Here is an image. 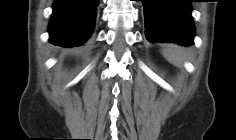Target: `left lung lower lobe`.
<instances>
[{
  "label": "left lung lower lobe",
  "mask_w": 236,
  "mask_h": 140,
  "mask_svg": "<svg viewBox=\"0 0 236 140\" xmlns=\"http://www.w3.org/2000/svg\"><path fill=\"white\" fill-rule=\"evenodd\" d=\"M192 0H142L145 36L149 42L193 45Z\"/></svg>",
  "instance_id": "1"
}]
</instances>
